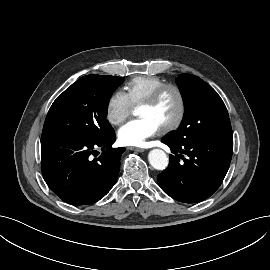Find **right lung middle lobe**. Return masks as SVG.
<instances>
[{
	"label": "right lung middle lobe",
	"instance_id": "right-lung-middle-lobe-1",
	"mask_svg": "<svg viewBox=\"0 0 270 270\" xmlns=\"http://www.w3.org/2000/svg\"><path fill=\"white\" fill-rule=\"evenodd\" d=\"M123 78L87 75L67 88L53 102L42 137L98 141L113 131L106 120L108 102Z\"/></svg>",
	"mask_w": 270,
	"mask_h": 270
}]
</instances>
